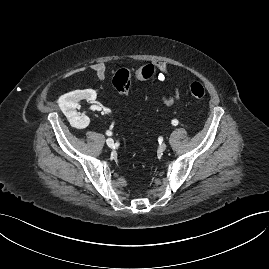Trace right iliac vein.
<instances>
[{"label": "right iliac vein", "instance_id": "obj_1", "mask_svg": "<svg viewBox=\"0 0 269 269\" xmlns=\"http://www.w3.org/2000/svg\"><path fill=\"white\" fill-rule=\"evenodd\" d=\"M106 144L108 145V147L113 148L114 147V141H113V139L112 138H108L106 140Z\"/></svg>", "mask_w": 269, "mask_h": 269}]
</instances>
